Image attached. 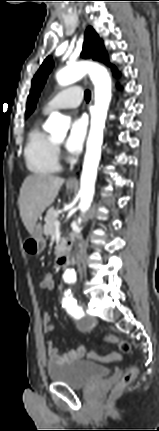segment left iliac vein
Instances as JSON below:
<instances>
[{
    "instance_id": "obj_1",
    "label": "left iliac vein",
    "mask_w": 159,
    "mask_h": 431,
    "mask_svg": "<svg viewBox=\"0 0 159 431\" xmlns=\"http://www.w3.org/2000/svg\"><path fill=\"white\" fill-rule=\"evenodd\" d=\"M81 308H83V309L85 310L86 306H85V304H84V303H81ZM89 321L93 322V321H94V318H93V317H91V318L89 319Z\"/></svg>"
}]
</instances>
